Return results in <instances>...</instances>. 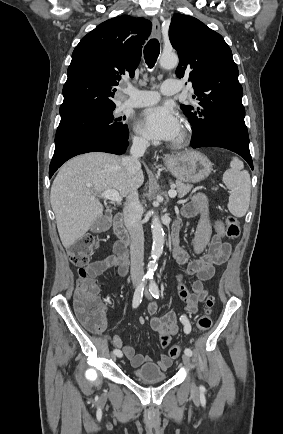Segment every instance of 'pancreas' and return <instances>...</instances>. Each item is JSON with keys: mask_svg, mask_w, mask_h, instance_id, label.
I'll list each match as a JSON object with an SVG mask.
<instances>
[{"mask_svg": "<svg viewBox=\"0 0 283 434\" xmlns=\"http://www.w3.org/2000/svg\"><path fill=\"white\" fill-rule=\"evenodd\" d=\"M175 186L179 198H183L193 189L192 184H185L181 181H176Z\"/></svg>", "mask_w": 283, "mask_h": 434, "instance_id": "obj_1", "label": "pancreas"}]
</instances>
